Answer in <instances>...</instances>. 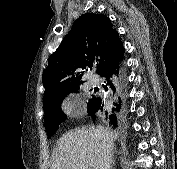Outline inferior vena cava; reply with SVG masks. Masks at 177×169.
I'll return each mask as SVG.
<instances>
[{"instance_id": "602c4592", "label": "inferior vena cava", "mask_w": 177, "mask_h": 169, "mask_svg": "<svg viewBox=\"0 0 177 169\" xmlns=\"http://www.w3.org/2000/svg\"><path fill=\"white\" fill-rule=\"evenodd\" d=\"M96 132L101 140L103 169H111L112 150L114 147L113 139L103 127L96 128Z\"/></svg>"}]
</instances>
